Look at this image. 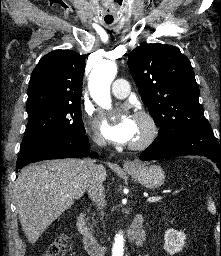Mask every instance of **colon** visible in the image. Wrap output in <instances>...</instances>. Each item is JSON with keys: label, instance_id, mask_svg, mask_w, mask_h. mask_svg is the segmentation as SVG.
<instances>
[{"label": "colon", "instance_id": "5ec220e1", "mask_svg": "<svg viewBox=\"0 0 221 256\" xmlns=\"http://www.w3.org/2000/svg\"><path fill=\"white\" fill-rule=\"evenodd\" d=\"M66 245V235H60L49 245L42 256H65Z\"/></svg>", "mask_w": 221, "mask_h": 256}]
</instances>
